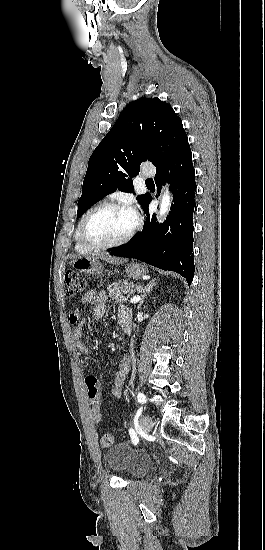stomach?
I'll return each instance as SVG.
<instances>
[{
	"label": "stomach",
	"instance_id": "0dacf381",
	"mask_svg": "<svg viewBox=\"0 0 265 550\" xmlns=\"http://www.w3.org/2000/svg\"><path fill=\"white\" fill-rule=\"evenodd\" d=\"M71 263L76 270L86 274L99 275L103 270V264L99 255L78 257ZM126 273L132 279H140L146 274V268L138 263H132L126 266Z\"/></svg>",
	"mask_w": 265,
	"mask_h": 550
}]
</instances>
